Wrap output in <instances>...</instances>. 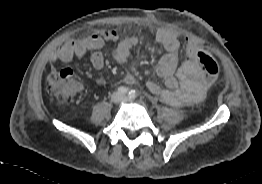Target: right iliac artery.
Listing matches in <instances>:
<instances>
[{"mask_svg": "<svg viewBox=\"0 0 262 184\" xmlns=\"http://www.w3.org/2000/svg\"><path fill=\"white\" fill-rule=\"evenodd\" d=\"M118 92L122 95L129 94V89L127 87L121 86L118 88Z\"/></svg>", "mask_w": 262, "mask_h": 184, "instance_id": "right-iliac-artery-1", "label": "right iliac artery"}]
</instances>
